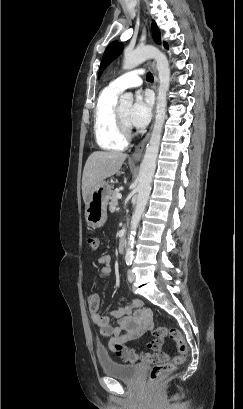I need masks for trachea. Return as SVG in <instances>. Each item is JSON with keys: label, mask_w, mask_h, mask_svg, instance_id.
<instances>
[{"label": "trachea", "mask_w": 243, "mask_h": 409, "mask_svg": "<svg viewBox=\"0 0 243 409\" xmlns=\"http://www.w3.org/2000/svg\"><path fill=\"white\" fill-rule=\"evenodd\" d=\"M147 80L148 81H153L154 80V77L150 72H148V74H147Z\"/></svg>", "instance_id": "1"}]
</instances>
